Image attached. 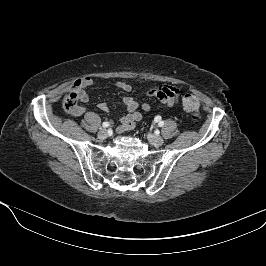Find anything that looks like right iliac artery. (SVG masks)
Instances as JSON below:
<instances>
[{"mask_svg": "<svg viewBox=\"0 0 266 266\" xmlns=\"http://www.w3.org/2000/svg\"><path fill=\"white\" fill-rule=\"evenodd\" d=\"M102 126H103L104 128H107V127L109 126V123H108V122H103Z\"/></svg>", "mask_w": 266, "mask_h": 266, "instance_id": "right-iliac-artery-1", "label": "right iliac artery"}]
</instances>
